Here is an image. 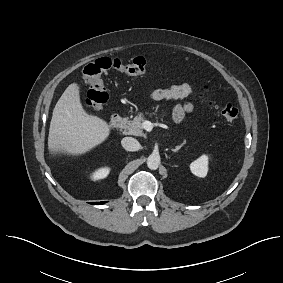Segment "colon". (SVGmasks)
<instances>
[{
	"label": "colon",
	"instance_id": "colon-1",
	"mask_svg": "<svg viewBox=\"0 0 283 283\" xmlns=\"http://www.w3.org/2000/svg\"><path fill=\"white\" fill-rule=\"evenodd\" d=\"M108 70H115L129 76H141L147 71V61L143 57H136L129 61L101 57L87 64L83 70L84 81L89 87L85 103L91 111H99L108 99L103 81V74ZM200 93L226 121L233 123L238 119V109L231 103H222L211 96L208 87L202 86Z\"/></svg>",
	"mask_w": 283,
	"mask_h": 283
}]
</instances>
